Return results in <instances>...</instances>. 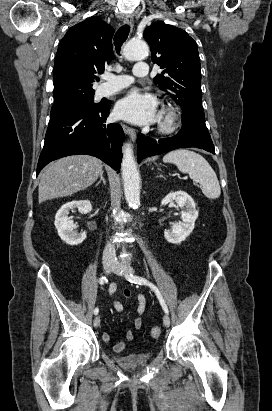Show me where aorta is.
I'll list each match as a JSON object with an SVG mask.
<instances>
[{
	"label": "aorta",
	"instance_id": "obj_1",
	"mask_svg": "<svg viewBox=\"0 0 272 411\" xmlns=\"http://www.w3.org/2000/svg\"><path fill=\"white\" fill-rule=\"evenodd\" d=\"M147 54L148 45L141 39L129 40L124 48V56L127 60H140ZM121 169L126 202L131 207L137 208L140 205V175L130 143L123 146Z\"/></svg>",
	"mask_w": 272,
	"mask_h": 411
}]
</instances>
